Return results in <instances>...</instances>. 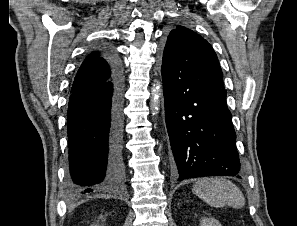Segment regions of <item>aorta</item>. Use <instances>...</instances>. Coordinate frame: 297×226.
<instances>
[{
  "mask_svg": "<svg viewBox=\"0 0 297 226\" xmlns=\"http://www.w3.org/2000/svg\"><path fill=\"white\" fill-rule=\"evenodd\" d=\"M159 89L160 88L158 86H156V87H153L152 91H151L155 102L159 98ZM153 108L158 109L155 104L153 105Z\"/></svg>",
  "mask_w": 297,
  "mask_h": 226,
  "instance_id": "obj_1",
  "label": "aorta"
}]
</instances>
